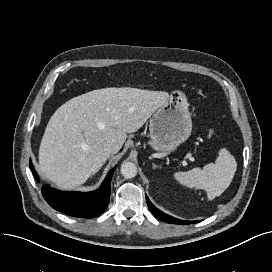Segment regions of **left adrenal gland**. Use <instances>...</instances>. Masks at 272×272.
Masks as SVG:
<instances>
[{"label":"left adrenal gland","mask_w":272,"mask_h":272,"mask_svg":"<svg viewBox=\"0 0 272 272\" xmlns=\"http://www.w3.org/2000/svg\"><path fill=\"white\" fill-rule=\"evenodd\" d=\"M152 167H153V168H160L161 166H157V165H155L154 163H152Z\"/></svg>","instance_id":"1"}]
</instances>
